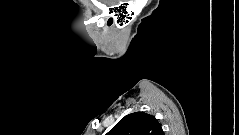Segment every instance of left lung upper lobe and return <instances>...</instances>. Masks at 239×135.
<instances>
[{
    "instance_id": "obj_1",
    "label": "left lung upper lobe",
    "mask_w": 239,
    "mask_h": 135,
    "mask_svg": "<svg viewBox=\"0 0 239 135\" xmlns=\"http://www.w3.org/2000/svg\"><path fill=\"white\" fill-rule=\"evenodd\" d=\"M108 135H163L157 119L144 112L126 115L108 133Z\"/></svg>"
}]
</instances>
